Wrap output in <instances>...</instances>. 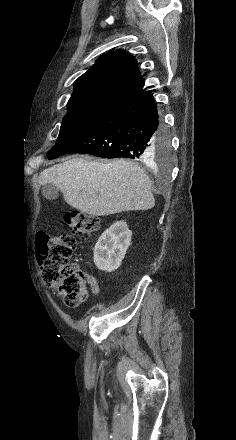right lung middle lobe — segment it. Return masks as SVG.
<instances>
[{"mask_svg": "<svg viewBox=\"0 0 236 440\" xmlns=\"http://www.w3.org/2000/svg\"><path fill=\"white\" fill-rule=\"evenodd\" d=\"M67 106L68 112L62 121L57 142L52 149L60 147L71 138L82 133L115 108L110 105L89 102L68 103ZM169 156V140L163 133L155 141L154 159L159 163H164L169 159Z\"/></svg>", "mask_w": 236, "mask_h": 440, "instance_id": "dd1d6c3e", "label": "right lung middle lobe"}]
</instances>
